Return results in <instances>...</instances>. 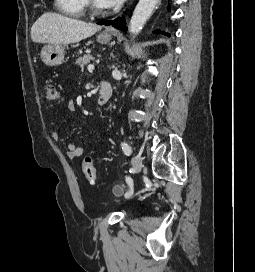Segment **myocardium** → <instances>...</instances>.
I'll list each match as a JSON object with an SVG mask.
<instances>
[{"instance_id": "myocardium-1", "label": "myocardium", "mask_w": 255, "mask_h": 272, "mask_svg": "<svg viewBox=\"0 0 255 272\" xmlns=\"http://www.w3.org/2000/svg\"><path fill=\"white\" fill-rule=\"evenodd\" d=\"M86 7L89 9V11L94 15H100L103 13L102 7H99L95 0H85Z\"/></svg>"}]
</instances>
